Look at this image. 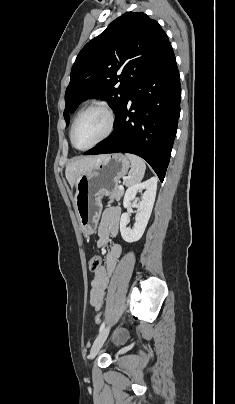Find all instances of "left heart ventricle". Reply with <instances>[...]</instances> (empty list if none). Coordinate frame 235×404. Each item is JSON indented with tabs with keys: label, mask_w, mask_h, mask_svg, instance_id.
<instances>
[{
	"label": "left heart ventricle",
	"mask_w": 235,
	"mask_h": 404,
	"mask_svg": "<svg viewBox=\"0 0 235 404\" xmlns=\"http://www.w3.org/2000/svg\"><path fill=\"white\" fill-rule=\"evenodd\" d=\"M108 117L101 110H91L81 116L74 130V142L78 147H88L106 132Z\"/></svg>",
	"instance_id": "1"
}]
</instances>
